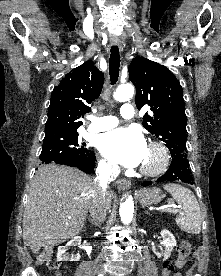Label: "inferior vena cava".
I'll return each instance as SVG.
<instances>
[{"mask_svg": "<svg viewBox=\"0 0 221 276\" xmlns=\"http://www.w3.org/2000/svg\"><path fill=\"white\" fill-rule=\"evenodd\" d=\"M119 174L117 165L100 163L96 171V187L90 203L89 212L91 220L101 224L106 219V213L109 209L106 200V190L108 183Z\"/></svg>", "mask_w": 221, "mask_h": 276, "instance_id": "inferior-vena-cava-1", "label": "inferior vena cava"}]
</instances>
